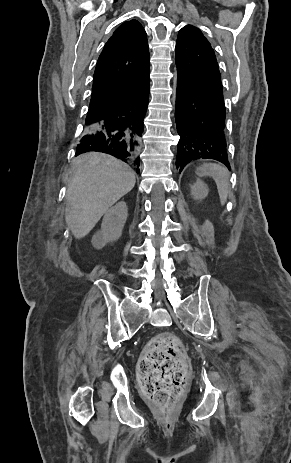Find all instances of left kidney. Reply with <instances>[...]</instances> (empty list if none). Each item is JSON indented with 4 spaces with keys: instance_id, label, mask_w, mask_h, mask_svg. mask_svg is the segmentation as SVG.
<instances>
[{
    "instance_id": "1",
    "label": "left kidney",
    "mask_w": 291,
    "mask_h": 463,
    "mask_svg": "<svg viewBox=\"0 0 291 463\" xmlns=\"http://www.w3.org/2000/svg\"><path fill=\"white\" fill-rule=\"evenodd\" d=\"M208 188L207 186L201 182V181H196L192 186H191V195L195 200H202L208 195Z\"/></svg>"
}]
</instances>
